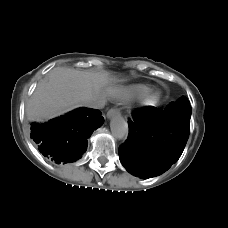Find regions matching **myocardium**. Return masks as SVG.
Listing matches in <instances>:
<instances>
[{"instance_id":"1","label":"myocardium","mask_w":228,"mask_h":228,"mask_svg":"<svg viewBox=\"0 0 228 228\" xmlns=\"http://www.w3.org/2000/svg\"><path fill=\"white\" fill-rule=\"evenodd\" d=\"M161 97V93L159 91L150 90L140 98V104L143 107H149L156 105Z\"/></svg>"}]
</instances>
